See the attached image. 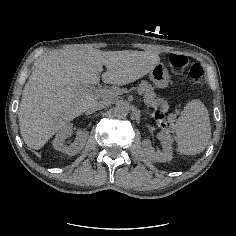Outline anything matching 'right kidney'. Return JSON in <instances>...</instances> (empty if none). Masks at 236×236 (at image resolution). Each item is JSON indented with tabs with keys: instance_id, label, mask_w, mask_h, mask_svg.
<instances>
[{
	"instance_id": "1",
	"label": "right kidney",
	"mask_w": 236,
	"mask_h": 236,
	"mask_svg": "<svg viewBox=\"0 0 236 236\" xmlns=\"http://www.w3.org/2000/svg\"><path fill=\"white\" fill-rule=\"evenodd\" d=\"M72 132V127L67 125L56 135L53 141V147L58 152L73 156L79 154L82 151L88 139L89 131L81 128L77 129V140H75V142L71 145H65V139L68 138L72 134Z\"/></svg>"
}]
</instances>
